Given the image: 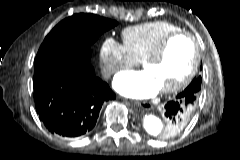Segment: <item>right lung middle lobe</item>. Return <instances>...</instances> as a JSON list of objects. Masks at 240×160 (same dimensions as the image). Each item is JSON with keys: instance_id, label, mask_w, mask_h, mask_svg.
I'll list each match as a JSON object with an SVG mask.
<instances>
[{"instance_id": "obj_1", "label": "right lung middle lobe", "mask_w": 240, "mask_h": 160, "mask_svg": "<svg viewBox=\"0 0 240 160\" xmlns=\"http://www.w3.org/2000/svg\"><path fill=\"white\" fill-rule=\"evenodd\" d=\"M115 25L116 21L84 13L62 20L45 37L34 66L53 58L66 59L85 67L91 66V44Z\"/></svg>"}]
</instances>
